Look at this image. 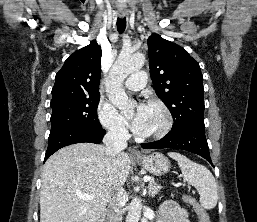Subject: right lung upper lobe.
<instances>
[{
    "label": "right lung upper lobe",
    "instance_id": "right-lung-upper-lobe-1",
    "mask_svg": "<svg viewBox=\"0 0 257 222\" xmlns=\"http://www.w3.org/2000/svg\"><path fill=\"white\" fill-rule=\"evenodd\" d=\"M101 47L96 41L74 52L55 77L52 101L100 95Z\"/></svg>",
    "mask_w": 257,
    "mask_h": 222
}]
</instances>
